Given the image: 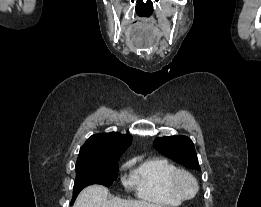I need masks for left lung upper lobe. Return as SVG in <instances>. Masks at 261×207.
I'll use <instances>...</instances> for the list:
<instances>
[{"mask_svg": "<svg viewBox=\"0 0 261 207\" xmlns=\"http://www.w3.org/2000/svg\"><path fill=\"white\" fill-rule=\"evenodd\" d=\"M154 146L161 154L191 169H200L192 140L183 135L158 137Z\"/></svg>", "mask_w": 261, "mask_h": 207, "instance_id": "left-lung-upper-lobe-1", "label": "left lung upper lobe"}]
</instances>
